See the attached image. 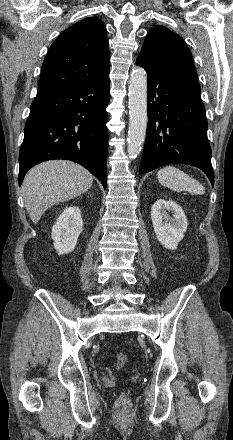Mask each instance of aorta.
Returning a JSON list of instances; mask_svg holds the SVG:
<instances>
[{
    "instance_id": "1",
    "label": "aorta",
    "mask_w": 233,
    "mask_h": 440,
    "mask_svg": "<svg viewBox=\"0 0 233 440\" xmlns=\"http://www.w3.org/2000/svg\"><path fill=\"white\" fill-rule=\"evenodd\" d=\"M147 75L143 68L133 69L129 81L128 154L135 157L145 140L147 129Z\"/></svg>"
}]
</instances>
